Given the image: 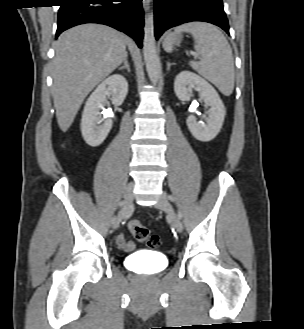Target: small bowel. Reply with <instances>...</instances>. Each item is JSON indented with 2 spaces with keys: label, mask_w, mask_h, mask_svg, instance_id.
I'll use <instances>...</instances> for the list:
<instances>
[{
  "label": "small bowel",
  "mask_w": 304,
  "mask_h": 329,
  "mask_svg": "<svg viewBox=\"0 0 304 329\" xmlns=\"http://www.w3.org/2000/svg\"><path fill=\"white\" fill-rule=\"evenodd\" d=\"M116 241L118 246L125 252H131L135 249L134 243L129 241L124 234H119Z\"/></svg>",
  "instance_id": "c3829d8e"
}]
</instances>
